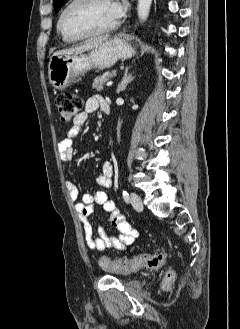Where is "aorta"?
Here are the masks:
<instances>
[{"mask_svg":"<svg viewBox=\"0 0 240 329\" xmlns=\"http://www.w3.org/2000/svg\"><path fill=\"white\" fill-rule=\"evenodd\" d=\"M151 4L152 0H138L137 12L141 21H145L148 18Z\"/></svg>","mask_w":240,"mask_h":329,"instance_id":"1","label":"aorta"}]
</instances>
